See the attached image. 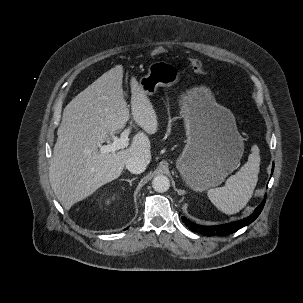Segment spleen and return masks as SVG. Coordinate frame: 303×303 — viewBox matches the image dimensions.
<instances>
[{"label": "spleen", "instance_id": "3e777b00", "mask_svg": "<svg viewBox=\"0 0 303 303\" xmlns=\"http://www.w3.org/2000/svg\"><path fill=\"white\" fill-rule=\"evenodd\" d=\"M260 160L259 148L254 144L248 161L227 179L225 186L208 190L210 201L220 211L232 215L246 206L258 181Z\"/></svg>", "mask_w": 303, "mask_h": 303}]
</instances>
